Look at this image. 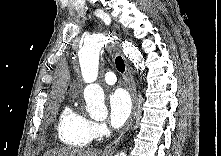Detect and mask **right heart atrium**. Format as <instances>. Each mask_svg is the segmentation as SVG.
<instances>
[{"label": "right heart atrium", "mask_w": 221, "mask_h": 156, "mask_svg": "<svg viewBox=\"0 0 221 156\" xmlns=\"http://www.w3.org/2000/svg\"><path fill=\"white\" fill-rule=\"evenodd\" d=\"M88 131L92 139H98L106 133L107 127L102 122L88 120Z\"/></svg>", "instance_id": "obj_1"}]
</instances>
